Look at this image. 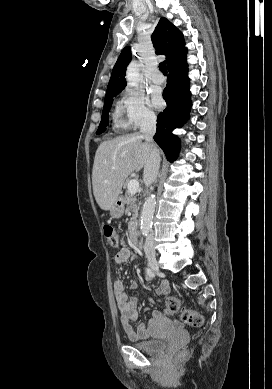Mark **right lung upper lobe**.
Returning <instances> with one entry per match:
<instances>
[{"label":"right lung upper lobe","instance_id":"1","mask_svg":"<svg viewBox=\"0 0 272 389\" xmlns=\"http://www.w3.org/2000/svg\"><path fill=\"white\" fill-rule=\"evenodd\" d=\"M151 38L156 53L166 55L165 62L168 68L185 58L187 49L184 46L183 34L168 19L164 17L160 19ZM130 61L131 50L129 47H125L113 67L105 97L112 93L120 92L125 88V71Z\"/></svg>","mask_w":272,"mask_h":389}]
</instances>
